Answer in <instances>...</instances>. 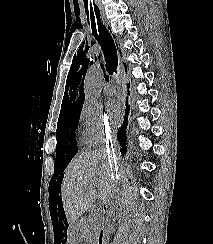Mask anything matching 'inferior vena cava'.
<instances>
[{
	"mask_svg": "<svg viewBox=\"0 0 213 244\" xmlns=\"http://www.w3.org/2000/svg\"><path fill=\"white\" fill-rule=\"evenodd\" d=\"M108 153V160H109V168L111 169V173H112V177L111 180L112 181H118V169H117V165H116V156H117V148L115 146V148L110 149V150H106ZM113 190L110 193L108 199L105 201L106 206L108 207L107 210V215L109 217H112L115 213V210L117 209V206L119 204L120 201V194H119V187L117 183H113Z\"/></svg>",
	"mask_w": 213,
	"mask_h": 244,
	"instance_id": "obj_1",
	"label": "inferior vena cava"
}]
</instances>
